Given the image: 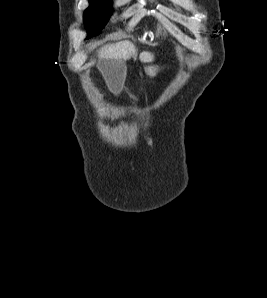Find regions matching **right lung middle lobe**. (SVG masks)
Here are the masks:
<instances>
[{
  "label": "right lung middle lobe",
  "instance_id": "obj_1",
  "mask_svg": "<svg viewBox=\"0 0 267 298\" xmlns=\"http://www.w3.org/2000/svg\"><path fill=\"white\" fill-rule=\"evenodd\" d=\"M89 3V8L84 12V22L90 37L101 33L112 10L110 0H89Z\"/></svg>",
  "mask_w": 267,
  "mask_h": 298
}]
</instances>
